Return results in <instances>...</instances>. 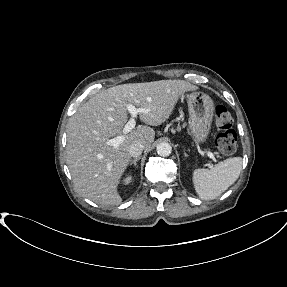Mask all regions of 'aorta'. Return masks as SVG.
<instances>
[{
  "label": "aorta",
  "mask_w": 287,
  "mask_h": 287,
  "mask_svg": "<svg viewBox=\"0 0 287 287\" xmlns=\"http://www.w3.org/2000/svg\"><path fill=\"white\" fill-rule=\"evenodd\" d=\"M157 154L162 157H167L172 152V147L167 142H161L156 147Z\"/></svg>",
  "instance_id": "1"
}]
</instances>
